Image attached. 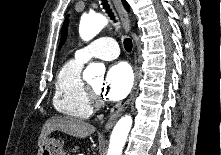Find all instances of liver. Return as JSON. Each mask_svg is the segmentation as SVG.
<instances>
[{"instance_id":"liver-1","label":"liver","mask_w":221,"mask_h":155,"mask_svg":"<svg viewBox=\"0 0 221 155\" xmlns=\"http://www.w3.org/2000/svg\"><path fill=\"white\" fill-rule=\"evenodd\" d=\"M57 130L77 138H86L87 136L93 134L96 129L93 125L76 118L67 116H53L45 122L41 130V134L38 138L39 148L45 142L48 136L53 131Z\"/></svg>"}]
</instances>
